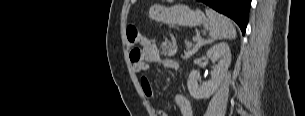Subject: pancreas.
Instances as JSON below:
<instances>
[{
    "label": "pancreas",
    "mask_w": 305,
    "mask_h": 116,
    "mask_svg": "<svg viewBox=\"0 0 305 116\" xmlns=\"http://www.w3.org/2000/svg\"><path fill=\"white\" fill-rule=\"evenodd\" d=\"M195 41H198V37L195 39ZM198 47H200V44L193 46L191 43L186 42L185 58H189L194 55L195 52L198 50Z\"/></svg>",
    "instance_id": "pancreas-1"
}]
</instances>
